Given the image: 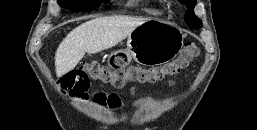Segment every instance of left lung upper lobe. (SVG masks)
<instances>
[{
    "mask_svg": "<svg viewBox=\"0 0 257 130\" xmlns=\"http://www.w3.org/2000/svg\"><path fill=\"white\" fill-rule=\"evenodd\" d=\"M184 3L188 11L185 14V21L195 29H198L202 26L201 20H199L194 14V7L196 5V0H181Z\"/></svg>",
    "mask_w": 257,
    "mask_h": 130,
    "instance_id": "obj_1",
    "label": "left lung upper lobe"
}]
</instances>
